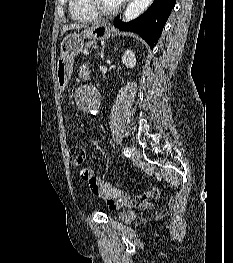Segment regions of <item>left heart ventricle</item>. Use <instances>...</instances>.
Wrapping results in <instances>:
<instances>
[{
  "label": "left heart ventricle",
  "instance_id": "b2bd125f",
  "mask_svg": "<svg viewBox=\"0 0 233 263\" xmlns=\"http://www.w3.org/2000/svg\"><path fill=\"white\" fill-rule=\"evenodd\" d=\"M99 4L107 9L114 8L119 4V0H98Z\"/></svg>",
  "mask_w": 233,
  "mask_h": 263
}]
</instances>
